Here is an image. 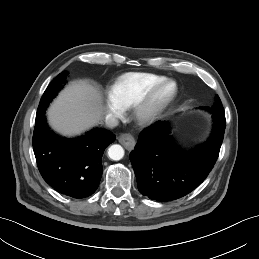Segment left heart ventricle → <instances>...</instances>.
Here are the masks:
<instances>
[{"mask_svg": "<svg viewBox=\"0 0 259 259\" xmlns=\"http://www.w3.org/2000/svg\"><path fill=\"white\" fill-rule=\"evenodd\" d=\"M172 87L169 86V87H166L164 88L163 90H161L155 97V102H160L162 101L163 99H165L167 97V95L170 93Z\"/></svg>", "mask_w": 259, "mask_h": 259, "instance_id": "left-heart-ventricle-1", "label": "left heart ventricle"}]
</instances>
